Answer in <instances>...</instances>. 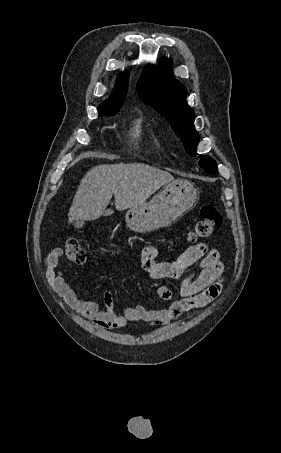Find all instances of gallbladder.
<instances>
[{
	"label": "gallbladder",
	"instance_id": "gallbladder-1",
	"mask_svg": "<svg viewBox=\"0 0 281 453\" xmlns=\"http://www.w3.org/2000/svg\"><path fill=\"white\" fill-rule=\"evenodd\" d=\"M73 227H74L75 229H80V228L82 227V222H81L80 220H75V221L73 222Z\"/></svg>",
	"mask_w": 281,
	"mask_h": 453
}]
</instances>
